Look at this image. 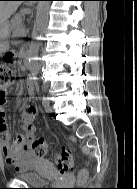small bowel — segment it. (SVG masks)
I'll use <instances>...</instances> for the list:
<instances>
[{"instance_id": "1", "label": "small bowel", "mask_w": 137, "mask_h": 189, "mask_svg": "<svg viewBox=\"0 0 137 189\" xmlns=\"http://www.w3.org/2000/svg\"><path fill=\"white\" fill-rule=\"evenodd\" d=\"M29 94L34 92V82L29 81L26 85ZM6 96L0 97V144L5 156V161L17 172L22 171L26 166L35 160V156L28 148V138L35 132L34 114H27L26 108L23 113L25 134H18L11 138L9 127L6 121L4 105Z\"/></svg>"}]
</instances>
